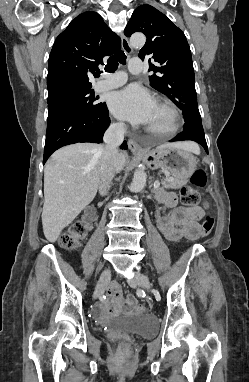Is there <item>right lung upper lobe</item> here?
<instances>
[{
    "instance_id": "right-lung-upper-lobe-1",
    "label": "right lung upper lobe",
    "mask_w": 249,
    "mask_h": 382,
    "mask_svg": "<svg viewBox=\"0 0 249 382\" xmlns=\"http://www.w3.org/2000/svg\"><path fill=\"white\" fill-rule=\"evenodd\" d=\"M120 38L99 14L77 16L56 38L49 56L48 103L91 89L88 74L97 71L103 57L116 52Z\"/></svg>"
}]
</instances>
